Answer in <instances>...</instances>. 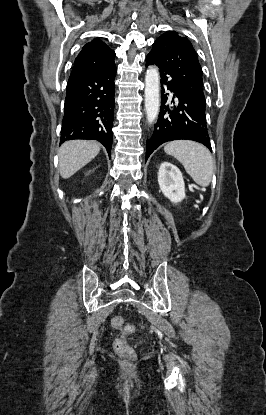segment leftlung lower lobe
<instances>
[{
  "mask_svg": "<svg viewBox=\"0 0 266 415\" xmlns=\"http://www.w3.org/2000/svg\"><path fill=\"white\" fill-rule=\"evenodd\" d=\"M157 65L150 54L146 57V66ZM159 67V66H158ZM161 86V107L157 123L154 125L152 137L146 143V158L161 144L180 139L194 140L204 144L211 151L210 138L207 132L205 109L197 104L188 93L164 69L159 67ZM165 89L175 94L169 105ZM178 101L175 102L174 98Z\"/></svg>",
  "mask_w": 266,
  "mask_h": 415,
  "instance_id": "1",
  "label": "left lung lower lobe"
}]
</instances>
